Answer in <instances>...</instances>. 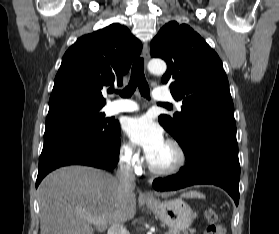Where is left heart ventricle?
I'll return each instance as SVG.
<instances>
[{
  "label": "left heart ventricle",
  "instance_id": "1",
  "mask_svg": "<svg viewBox=\"0 0 279 234\" xmlns=\"http://www.w3.org/2000/svg\"><path fill=\"white\" fill-rule=\"evenodd\" d=\"M175 152L167 144H165L156 154L150 159V162L156 167H168L175 161Z\"/></svg>",
  "mask_w": 279,
  "mask_h": 234
}]
</instances>
